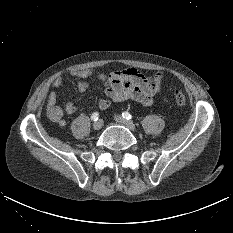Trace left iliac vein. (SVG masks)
<instances>
[{"label": "left iliac vein", "instance_id": "left-iliac-vein-1", "mask_svg": "<svg viewBox=\"0 0 233 233\" xmlns=\"http://www.w3.org/2000/svg\"><path fill=\"white\" fill-rule=\"evenodd\" d=\"M114 119H115V121H116L117 123L126 126L129 130H131V131H133V132L136 131V127H135V125H134L133 122L124 119V118H123L122 116H120V115H115Z\"/></svg>", "mask_w": 233, "mask_h": 233}]
</instances>
